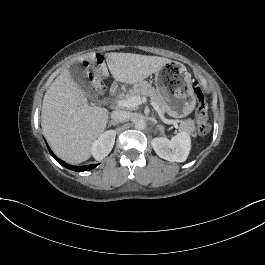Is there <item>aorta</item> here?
<instances>
[{"mask_svg":"<svg viewBox=\"0 0 265 265\" xmlns=\"http://www.w3.org/2000/svg\"><path fill=\"white\" fill-rule=\"evenodd\" d=\"M146 127V122H145V120L144 119H137L136 121H135V128L136 129H140V130H142V129H144Z\"/></svg>","mask_w":265,"mask_h":265,"instance_id":"obj_1","label":"aorta"}]
</instances>
